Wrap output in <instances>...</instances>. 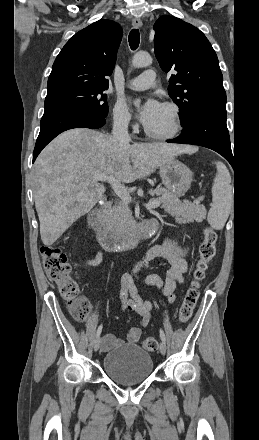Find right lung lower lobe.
Masks as SVG:
<instances>
[{"mask_svg":"<svg viewBox=\"0 0 259 440\" xmlns=\"http://www.w3.org/2000/svg\"><path fill=\"white\" fill-rule=\"evenodd\" d=\"M105 123V118L79 110L44 113L40 123V133L33 152V162L41 150L63 131L80 127L97 129L104 126Z\"/></svg>","mask_w":259,"mask_h":440,"instance_id":"98d812e1","label":"right lung lower lobe"}]
</instances>
